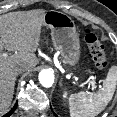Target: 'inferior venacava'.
<instances>
[{
    "instance_id": "obj_1",
    "label": "inferior vena cava",
    "mask_w": 117,
    "mask_h": 117,
    "mask_svg": "<svg viewBox=\"0 0 117 117\" xmlns=\"http://www.w3.org/2000/svg\"><path fill=\"white\" fill-rule=\"evenodd\" d=\"M25 69H26V67H19V68H17V75L19 73H21L22 71H24Z\"/></svg>"
}]
</instances>
